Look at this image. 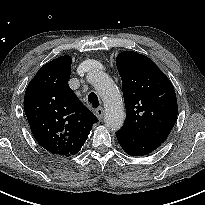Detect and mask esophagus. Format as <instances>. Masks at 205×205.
<instances>
[{
	"label": "esophagus",
	"mask_w": 205,
	"mask_h": 205,
	"mask_svg": "<svg viewBox=\"0 0 205 205\" xmlns=\"http://www.w3.org/2000/svg\"><path fill=\"white\" fill-rule=\"evenodd\" d=\"M95 114H96L97 118H98L99 120H101L102 117H103V114H104V109H103L102 107L97 108V109L95 110Z\"/></svg>",
	"instance_id": "34e87169"
}]
</instances>
